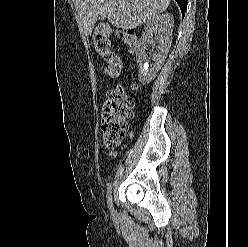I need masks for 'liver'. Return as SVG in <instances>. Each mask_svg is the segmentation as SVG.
<instances>
[{"label": "liver", "instance_id": "liver-1", "mask_svg": "<svg viewBox=\"0 0 248 247\" xmlns=\"http://www.w3.org/2000/svg\"><path fill=\"white\" fill-rule=\"evenodd\" d=\"M83 31L90 35L96 21L107 18L123 30L133 29L164 12L170 0H73Z\"/></svg>", "mask_w": 248, "mask_h": 247}]
</instances>
